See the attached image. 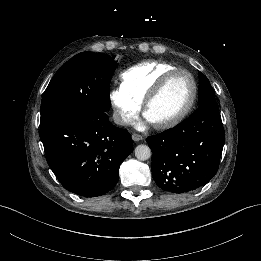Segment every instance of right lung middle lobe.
<instances>
[{
	"mask_svg": "<svg viewBox=\"0 0 261 261\" xmlns=\"http://www.w3.org/2000/svg\"><path fill=\"white\" fill-rule=\"evenodd\" d=\"M102 53L82 52L67 61L53 76L41 102L40 123L45 119L111 107L109 85L116 61Z\"/></svg>",
	"mask_w": 261,
	"mask_h": 261,
	"instance_id": "1",
	"label": "right lung middle lobe"
}]
</instances>
